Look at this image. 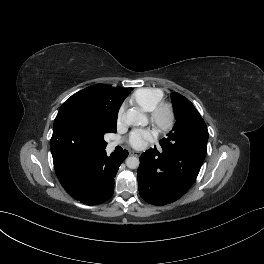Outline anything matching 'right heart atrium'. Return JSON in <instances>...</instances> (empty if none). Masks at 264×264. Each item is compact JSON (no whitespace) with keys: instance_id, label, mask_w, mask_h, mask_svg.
<instances>
[{"instance_id":"right-heart-atrium-1","label":"right heart atrium","mask_w":264,"mask_h":264,"mask_svg":"<svg viewBox=\"0 0 264 264\" xmlns=\"http://www.w3.org/2000/svg\"><path fill=\"white\" fill-rule=\"evenodd\" d=\"M123 116V107H121L117 113V122L120 123Z\"/></svg>"}]
</instances>
